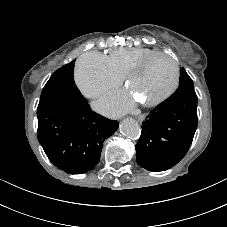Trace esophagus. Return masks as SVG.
I'll use <instances>...</instances> for the list:
<instances>
[{
	"mask_svg": "<svg viewBox=\"0 0 227 227\" xmlns=\"http://www.w3.org/2000/svg\"><path fill=\"white\" fill-rule=\"evenodd\" d=\"M145 115L144 114H140L138 116H136V119L139 121V122H142L144 119H145Z\"/></svg>",
	"mask_w": 227,
	"mask_h": 227,
	"instance_id": "34e87169",
	"label": "esophagus"
}]
</instances>
